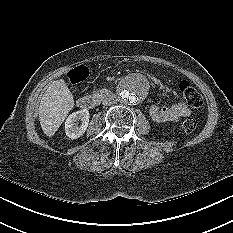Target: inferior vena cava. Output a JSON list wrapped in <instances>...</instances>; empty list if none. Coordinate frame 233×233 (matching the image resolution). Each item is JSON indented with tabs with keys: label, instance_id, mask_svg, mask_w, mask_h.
<instances>
[{
	"label": "inferior vena cava",
	"instance_id": "obj_1",
	"mask_svg": "<svg viewBox=\"0 0 233 233\" xmlns=\"http://www.w3.org/2000/svg\"><path fill=\"white\" fill-rule=\"evenodd\" d=\"M117 100L118 99H117L116 95L112 94L109 97H106L102 103H103V105L108 106V105H113V104L117 103Z\"/></svg>",
	"mask_w": 233,
	"mask_h": 233
}]
</instances>
